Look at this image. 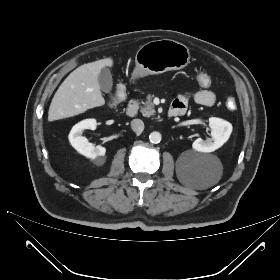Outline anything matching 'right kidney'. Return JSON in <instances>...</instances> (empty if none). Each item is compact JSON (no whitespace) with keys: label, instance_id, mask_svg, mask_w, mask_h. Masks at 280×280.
Listing matches in <instances>:
<instances>
[{"label":"right kidney","instance_id":"ca27d5eb","mask_svg":"<svg viewBox=\"0 0 280 280\" xmlns=\"http://www.w3.org/2000/svg\"><path fill=\"white\" fill-rule=\"evenodd\" d=\"M97 122L95 119H86L73 126L69 133V141L71 145L82 155L90 159L103 158L106 153L105 147L94 146L82 133L86 129L95 130Z\"/></svg>","mask_w":280,"mask_h":280}]
</instances>
